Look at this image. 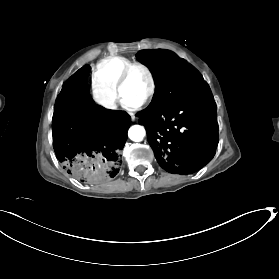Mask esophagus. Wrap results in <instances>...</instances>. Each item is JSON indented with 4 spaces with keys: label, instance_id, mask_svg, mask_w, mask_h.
<instances>
[{
    "label": "esophagus",
    "instance_id": "esophagus-1",
    "mask_svg": "<svg viewBox=\"0 0 279 279\" xmlns=\"http://www.w3.org/2000/svg\"><path fill=\"white\" fill-rule=\"evenodd\" d=\"M129 114H130V116H131L132 121H135V114L132 113V112H130Z\"/></svg>",
    "mask_w": 279,
    "mask_h": 279
}]
</instances>
